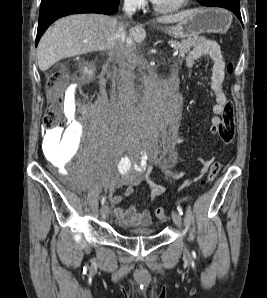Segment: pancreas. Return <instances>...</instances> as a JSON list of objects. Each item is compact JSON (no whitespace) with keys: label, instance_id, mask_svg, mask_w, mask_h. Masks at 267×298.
Returning <instances> with one entry per match:
<instances>
[{"label":"pancreas","instance_id":"1","mask_svg":"<svg viewBox=\"0 0 267 298\" xmlns=\"http://www.w3.org/2000/svg\"><path fill=\"white\" fill-rule=\"evenodd\" d=\"M199 41L200 38L198 36H193L181 42L171 41L170 43L176 50L179 51V55L184 57L186 54L190 52L191 48L194 47Z\"/></svg>","mask_w":267,"mask_h":298}]
</instances>
